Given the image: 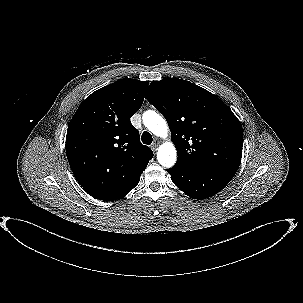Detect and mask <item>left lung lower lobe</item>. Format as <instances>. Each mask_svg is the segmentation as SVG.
<instances>
[{
  "instance_id": "obj_1",
  "label": "left lung lower lobe",
  "mask_w": 303,
  "mask_h": 303,
  "mask_svg": "<svg viewBox=\"0 0 303 303\" xmlns=\"http://www.w3.org/2000/svg\"><path fill=\"white\" fill-rule=\"evenodd\" d=\"M173 183L193 199H206L221 191L234 177L237 170L211 167L202 169L174 165L167 169Z\"/></svg>"
}]
</instances>
